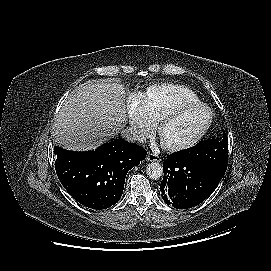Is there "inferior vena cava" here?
Masks as SVG:
<instances>
[{
  "label": "inferior vena cava",
  "instance_id": "inferior-vena-cava-1",
  "mask_svg": "<svg viewBox=\"0 0 271 271\" xmlns=\"http://www.w3.org/2000/svg\"><path fill=\"white\" fill-rule=\"evenodd\" d=\"M122 138H124L128 142L140 141L143 142L145 137L140 134L136 129L132 127H127L121 132Z\"/></svg>",
  "mask_w": 271,
  "mask_h": 271
}]
</instances>
